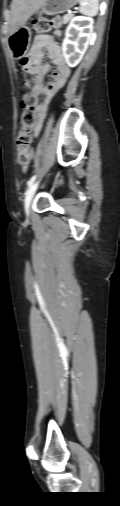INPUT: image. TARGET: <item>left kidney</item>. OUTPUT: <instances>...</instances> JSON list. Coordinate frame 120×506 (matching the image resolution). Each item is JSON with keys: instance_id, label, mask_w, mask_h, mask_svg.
I'll return each instance as SVG.
<instances>
[{"instance_id": "5707ae66", "label": "left kidney", "mask_w": 120, "mask_h": 506, "mask_svg": "<svg viewBox=\"0 0 120 506\" xmlns=\"http://www.w3.org/2000/svg\"><path fill=\"white\" fill-rule=\"evenodd\" d=\"M93 34V19L76 16L70 21L62 43V52L69 67H75L83 58Z\"/></svg>"}]
</instances>
